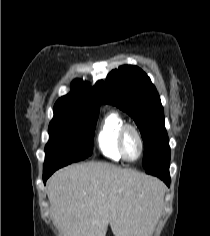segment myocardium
I'll return each instance as SVG.
<instances>
[{"label": "myocardium", "instance_id": "1", "mask_svg": "<svg viewBox=\"0 0 210 236\" xmlns=\"http://www.w3.org/2000/svg\"><path fill=\"white\" fill-rule=\"evenodd\" d=\"M129 131H132L133 133H135V135L137 136L138 141H139V153H138V156L134 159L127 157L125 150H124V139H125L127 132H129ZM118 149H119V152H120L122 158L128 162L137 161L142 156L143 151H144V139H143V136H142L140 130L135 125L125 123L120 128L119 134H118Z\"/></svg>", "mask_w": 210, "mask_h": 236}]
</instances>
